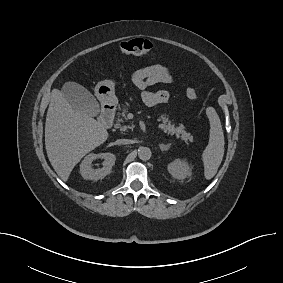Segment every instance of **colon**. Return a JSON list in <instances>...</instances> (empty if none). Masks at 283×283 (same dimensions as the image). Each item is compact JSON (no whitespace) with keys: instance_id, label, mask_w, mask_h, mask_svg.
<instances>
[{"instance_id":"1","label":"colon","mask_w":283,"mask_h":283,"mask_svg":"<svg viewBox=\"0 0 283 283\" xmlns=\"http://www.w3.org/2000/svg\"><path fill=\"white\" fill-rule=\"evenodd\" d=\"M120 51L126 55H144L154 53L156 47L146 39L134 38L121 42ZM186 96L188 99L194 101L198 98V93L194 87H188L186 89Z\"/></svg>"}]
</instances>
